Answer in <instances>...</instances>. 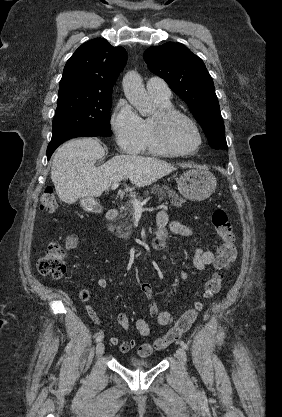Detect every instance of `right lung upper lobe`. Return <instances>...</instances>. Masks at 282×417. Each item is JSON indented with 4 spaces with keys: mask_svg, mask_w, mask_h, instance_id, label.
<instances>
[{
    "mask_svg": "<svg viewBox=\"0 0 282 417\" xmlns=\"http://www.w3.org/2000/svg\"><path fill=\"white\" fill-rule=\"evenodd\" d=\"M126 60L125 49L122 47H113L102 38L87 41L67 61L59 93L112 92Z\"/></svg>",
    "mask_w": 282,
    "mask_h": 417,
    "instance_id": "1",
    "label": "right lung upper lobe"
}]
</instances>
